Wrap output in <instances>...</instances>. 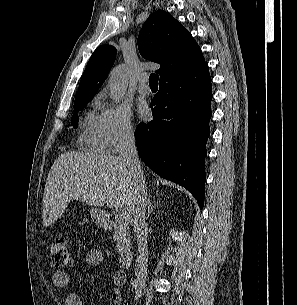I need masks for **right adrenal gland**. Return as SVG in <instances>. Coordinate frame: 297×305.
Masks as SVG:
<instances>
[{"instance_id": "right-adrenal-gland-1", "label": "right adrenal gland", "mask_w": 297, "mask_h": 305, "mask_svg": "<svg viewBox=\"0 0 297 305\" xmlns=\"http://www.w3.org/2000/svg\"><path fill=\"white\" fill-rule=\"evenodd\" d=\"M158 206V202L156 204H152L151 199H148V216L152 213L153 209Z\"/></svg>"}]
</instances>
